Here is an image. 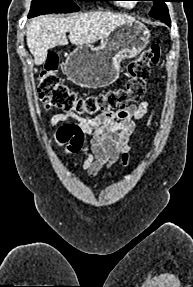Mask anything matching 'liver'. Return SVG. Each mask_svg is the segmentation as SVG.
Segmentation results:
<instances>
[{"label": "liver", "mask_w": 193, "mask_h": 287, "mask_svg": "<svg viewBox=\"0 0 193 287\" xmlns=\"http://www.w3.org/2000/svg\"><path fill=\"white\" fill-rule=\"evenodd\" d=\"M129 21L134 19L102 11L81 13L66 18L39 16L27 25V46L34 56L35 64L42 65L49 49L68 44L66 32H69V40L73 45H89L107 36L120 24Z\"/></svg>", "instance_id": "obj_1"}]
</instances>
